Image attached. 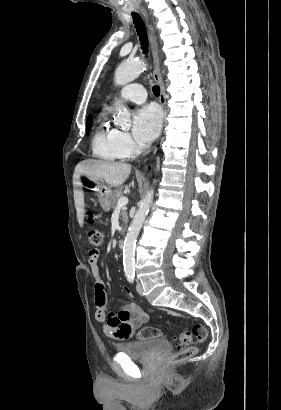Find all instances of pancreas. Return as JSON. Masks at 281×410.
I'll use <instances>...</instances> for the list:
<instances>
[{
    "label": "pancreas",
    "mask_w": 281,
    "mask_h": 410,
    "mask_svg": "<svg viewBox=\"0 0 281 410\" xmlns=\"http://www.w3.org/2000/svg\"><path fill=\"white\" fill-rule=\"evenodd\" d=\"M123 196H124V194H123V191H122V187H119L118 189L113 191V196H112V208L113 209H115L117 207L118 200ZM120 216H121V220L126 225L128 223V220H129L126 209L121 210Z\"/></svg>",
    "instance_id": "1"
}]
</instances>
